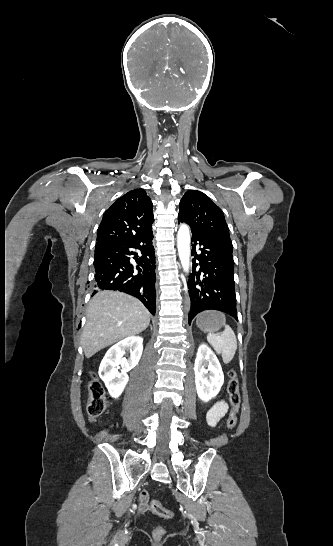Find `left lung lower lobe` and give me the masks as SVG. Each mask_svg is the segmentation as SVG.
<instances>
[{
    "mask_svg": "<svg viewBox=\"0 0 333 546\" xmlns=\"http://www.w3.org/2000/svg\"><path fill=\"white\" fill-rule=\"evenodd\" d=\"M191 232L194 258L188 280L189 324L205 310L222 311L238 320L232 243L196 229Z\"/></svg>",
    "mask_w": 333,
    "mask_h": 546,
    "instance_id": "0a47b994",
    "label": "left lung lower lobe"
}]
</instances>
